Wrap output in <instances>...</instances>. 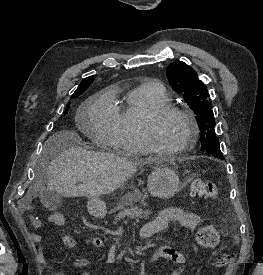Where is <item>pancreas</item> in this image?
Wrapping results in <instances>:
<instances>
[{
	"mask_svg": "<svg viewBox=\"0 0 263 275\" xmlns=\"http://www.w3.org/2000/svg\"><path fill=\"white\" fill-rule=\"evenodd\" d=\"M146 198H147V195L139 191L129 193L125 197V200L121 204H119L118 208L116 209V210H119V212L114 217L113 223L115 224L116 222L122 219H125L126 217L130 219H134V218L147 219L152 212L149 210H142L141 207L134 205V203L140 202L142 206H145Z\"/></svg>",
	"mask_w": 263,
	"mask_h": 275,
	"instance_id": "1",
	"label": "pancreas"
}]
</instances>
